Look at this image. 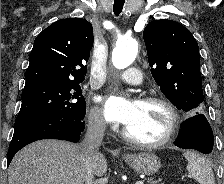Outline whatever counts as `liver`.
<instances>
[{"label":"liver","instance_id":"obj_1","mask_svg":"<svg viewBox=\"0 0 224 184\" xmlns=\"http://www.w3.org/2000/svg\"><path fill=\"white\" fill-rule=\"evenodd\" d=\"M97 177L107 172L102 153L92 159ZM85 169L79 145L60 140H40L20 150L8 168V184H83Z\"/></svg>","mask_w":224,"mask_h":184}]
</instances>
